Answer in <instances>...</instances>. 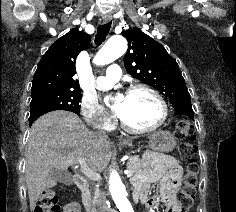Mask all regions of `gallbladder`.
<instances>
[{"mask_svg": "<svg viewBox=\"0 0 236 212\" xmlns=\"http://www.w3.org/2000/svg\"><path fill=\"white\" fill-rule=\"evenodd\" d=\"M53 178L57 180L58 182L63 183L65 185H70L72 183L71 174L67 171L54 170Z\"/></svg>", "mask_w": 236, "mask_h": 212, "instance_id": "gallbladder-1", "label": "gallbladder"}]
</instances>
